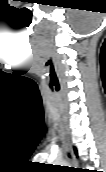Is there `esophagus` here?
I'll list each match as a JSON object with an SVG mask.
<instances>
[{
  "mask_svg": "<svg viewBox=\"0 0 106 172\" xmlns=\"http://www.w3.org/2000/svg\"><path fill=\"white\" fill-rule=\"evenodd\" d=\"M62 133L64 136V142H65V155L66 158L68 159L70 165L72 166H77V160L75 158V155L73 153L72 145L70 142V135H69V130L66 124V121L63 119L62 120Z\"/></svg>",
  "mask_w": 106,
  "mask_h": 172,
  "instance_id": "esophagus-1",
  "label": "esophagus"
}]
</instances>
